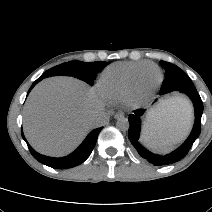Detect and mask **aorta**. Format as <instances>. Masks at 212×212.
<instances>
[{"mask_svg":"<svg viewBox=\"0 0 212 212\" xmlns=\"http://www.w3.org/2000/svg\"><path fill=\"white\" fill-rule=\"evenodd\" d=\"M116 127L120 131H127L129 129V121L125 117H120L116 122Z\"/></svg>","mask_w":212,"mask_h":212,"instance_id":"aorta-1","label":"aorta"}]
</instances>
